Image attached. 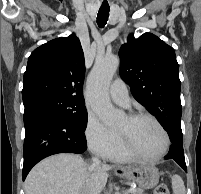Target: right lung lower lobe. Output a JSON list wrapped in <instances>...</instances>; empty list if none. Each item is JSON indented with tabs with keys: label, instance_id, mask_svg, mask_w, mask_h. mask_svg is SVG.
Wrapping results in <instances>:
<instances>
[{
	"label": "right lung lower lobe",
	"instance_id": "98d812e1",
	"mask_svg": "<svg viewBox=\"0 0 201 194\" xmlns=\"http://www.w3.org/2000/svg\"><path fill=\"white\" fill-rule=\"evenodd\" d=\"M23 181L31 168L57 153H83L87 149L84 132L57 112L40 106H25Z\"/></svg>",
	"mask_w": 201,
	"mask_h": 194
}]
</instances>
